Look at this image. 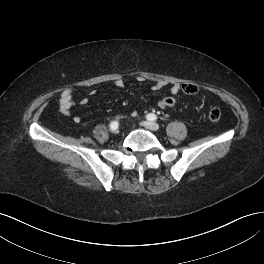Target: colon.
<instances>
[{"label": "colon", "instance_id": "5ec220e1", "mask_svg": "<svg viewBox=\"0 0 264 264\" xmlns=\"http://www.w3.org/2000/svg\"><path fill=\"white\" fill-rule=\"evenodd\" d=\"M182 90L185 94L192 95L197 93L198 86L194 83H185L182 85ZM160 103L164 108H174L176 106V100L173 97H165ZM208 117L212 121H218L221 118V111L213 107L208 111Z\"/></svg>", "mask_w": 264, "mask_h": 264}]
</instances>
